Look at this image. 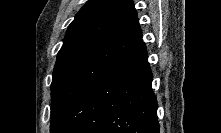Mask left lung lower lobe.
<instances>
[{"mask_svg":"<svg viewBox=\"0 0 221 133\" xmlns=\"http://www.w3.org/2000/svg\"><path fill=\"white\" fill-rule=\"evenodd\" d=\"M144 42L99 74L55 133H159Z\"/></svg>","mask_w":221,"mask_h":133,"instance_id":"left-lung-lower-lobe-1","label":"left lung lower lobe"}]
</instances>
